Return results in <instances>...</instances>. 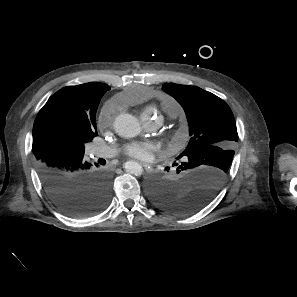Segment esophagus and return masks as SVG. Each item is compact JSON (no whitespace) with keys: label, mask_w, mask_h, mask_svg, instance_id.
I'll return each mask as SVG.
<instances>
[{"label":"esophagus","mask_w":297,"mask_h":297,"mask_svg":"<svg viewBox=\"0 0 297 297\" xmlns=\"http://www.w3.org/2000/svg\"><path fill=\"white\" fill-rule=\"evenodd\" d=\"M140 164L145 168L146 171L148 172L152 171V168L150 167L149 164L143 163V162H140Z\"/></svg>","instance_id":"34e87169"}]
</instances>
